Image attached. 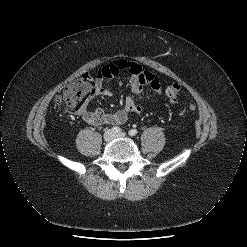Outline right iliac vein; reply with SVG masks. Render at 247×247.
<instances>
[{
  "label": "right iliac vein",
  "mask_w": 247,
  "mask_h": 247,
  "mask_svg": "<svg viewBox=\"0 0 247 247\" xmlns=\"http://www.w3.org/2000/svg\"><path fill=\"white\" fill-rule=\"evenodd\" d=\"M114 138V132L112 130H107L104 133V140L109 142Z\"/></svg>",
  "instance_id": "obj_1"
}]
</instances>
